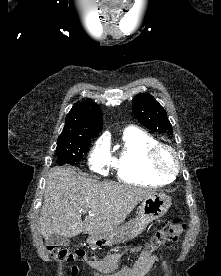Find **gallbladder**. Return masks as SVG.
Listing matches in <instances>:
<instances>
[{
    "label": "gallbladder",
    "mask_w": 221,
    "mask_h": 276,
    "mask_svg": "<svg viewBox=\"0 0 221 276\" xmlns=\"http://www.w3.org/2000/svg\"><path fill=\"white\" fill-rule=\"evenodd\" d=\"M69 239L58 234H53L47 238L46 244L51 246H67L69 245Z\"/></svg>",
    "instance_id": "gallbladder-1"
}]
</instances>
